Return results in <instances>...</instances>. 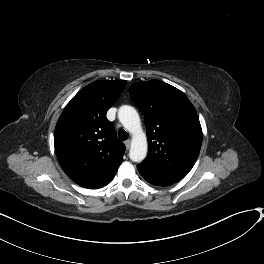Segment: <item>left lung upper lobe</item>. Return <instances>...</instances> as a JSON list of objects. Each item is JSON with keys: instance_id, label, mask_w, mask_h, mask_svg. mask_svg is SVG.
Segmentation results:
<instances>
[{"instance_id": "5c2ea615", "label": "left lung upper lobe", "mask_w": 264, "mask_h": 264, "mask_svg": "<svg viewBox=\"0 0 264 264\" xmlns=\"http://www.w3.org/2000/svg\"><path fill=\"white\" fill-rule=\"evenodd\" d=\"M129 92L144 114L149 147L137 169L180 181L192 169L202 144L195 108L182 91L158 80L137 82Z\"/></svg>"}]
</instances>
